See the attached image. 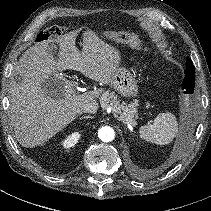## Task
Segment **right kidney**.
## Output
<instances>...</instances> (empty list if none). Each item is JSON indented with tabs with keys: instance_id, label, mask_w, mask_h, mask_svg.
I'll return each instance as SVG.
<instances>
[{
	"instance_id": "1",
	"label": "right kidney",
	"mask_w": 211,
	"mask_h": 211,
	"mask_svg": "<svg viewBox=\"0 0 211 211\" xmlns=\"http://www.w3.org/2000/svg\"><path fill=\"white\" fill-rule=\"evenodd\" d=\"M80 138V134L78 132L73 133L68 136L65 140L62 141V145L64 148H71L76 145Z\"/></svg>"
}]
</instances>
